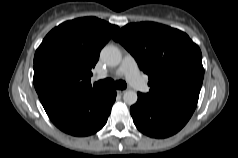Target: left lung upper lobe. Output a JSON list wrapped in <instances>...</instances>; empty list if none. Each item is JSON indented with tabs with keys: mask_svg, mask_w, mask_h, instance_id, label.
<instances>
[{
	"mask_svg": "<svg viewBox=\"0 0 238 158\" xmlns=\"http://www.w3.org/2000/svg\"><path fill=\"white\" fill-rule=\"evenodd\" d=\"M148 74V95L200 92L204 68L199 47L184 32L154 22L131 23L114 37Z\"/></svg>",
	"mask_w": 238,
	"mask_h": 158,
	"instance_id": "5c2ea615",
	"label": "left lung upper lobe"
}]
</instances>
